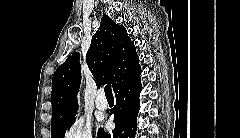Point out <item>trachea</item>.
<instances>
[{
	"mask_svg": "<svg viewBox=\"0 0 240 138\" xmlns=\"http://www.w3.org/2000/svg\"><path fill=\"white\" fill-rule=\"evenodd\" d=\"M104 91H105V95H106V98H113V94H112V89H111V85H106L105 88H104Z\"/></svg>",
	"mask_w": 240,
	"mask_h": 138,
	"instance_id": "obj_1",
	"label": "trachea"
}]
</instances>
